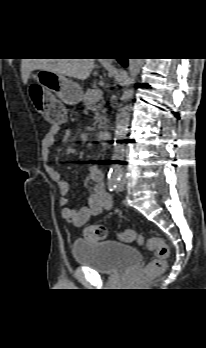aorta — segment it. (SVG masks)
<instances>
[{
    "mask_svg": "<svg viewBox=\"0 0 206 348\" xmlns=\"http://www.w3.org/2000/svg\"><path fill=\"white\" fill-rule=\"evenodd\" d=\"M143 64L144 59H129V73L124 82L126 88L123 91L121 98L123 103L119 107L116 115L114 154L118 156L122 155L124 152V143L122 140L125 139L127 135L130 120V107L125 102L133 97L134 90L132 86L136 83L137 76L140 73Z\"/></svg>",
    "mask_w": 206,
    "mask_h": 348,
    "instance_id": "762f6f07",
    "label": "aorta"
}]
</instances>
